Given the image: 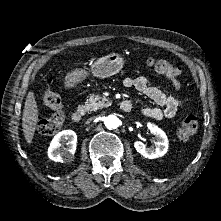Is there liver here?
Here are the masks:
<instances>
[{
    "label": "liver",
    "instance_id": "1",
    "mask_svg": "<svg viewBox=\"0 0 221 221\" xmlns=\"http://www.w3.org/2000/svg\"><path fill=\"white\" fill-rule=\"evenodd\" d=\"M39 110L33 91H29L25 100L22 117V128L25 140L31 143L39 121Z\"/></svg>",
    "mask_w": 221,
    "mask_h": 221
}]
</instances>
